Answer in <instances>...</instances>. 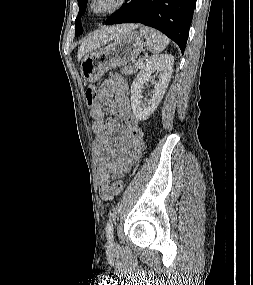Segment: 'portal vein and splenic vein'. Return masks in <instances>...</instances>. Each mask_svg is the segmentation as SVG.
I'll return each mask as SVG.
<instances>
[{
  "mask_svg": "<svg viewBox=\"0 0 253 285\" xmlns=\"http://www.w3.org/2000/svg\"><path fill=\"white\" fill-rule=\"evenodd\" d=\"M142 65V60H138V62L136 63L137 67H140Z\"/></svg>",
  "mask_w": 253,
  "mask_h": 285,
  "instance_id": "18ae733b",
  "label": "portal vein and splenic vein"
}]
</instances>
